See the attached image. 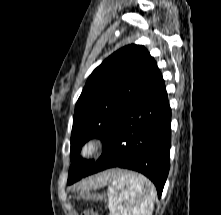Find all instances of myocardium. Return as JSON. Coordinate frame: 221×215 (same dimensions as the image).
Masks as SVG:
<instances>
[{
  "mask_svg": "<svg viewBox=\"0 0 221 215\" xmlns=\"http://www.w3.org/2000/svg\"><path fill=\"white\" fill-rule=\"evenodd\" d=\"M101 147V141L98 139H92L88 141L81 149V157L83 159L93 158Z\"/></svg>",
  "mask_w": 221,
  "mask_h": 215,
  "instance_id": "myocardium-1",
  "label": "myocardium"
}]
</instances>
